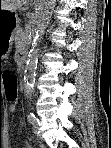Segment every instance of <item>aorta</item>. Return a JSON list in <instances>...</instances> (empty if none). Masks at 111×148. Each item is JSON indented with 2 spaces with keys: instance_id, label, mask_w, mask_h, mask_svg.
Instances as JSON below:
<instances>
[{
  "instance_id": "aorta-1",
  "label": "aorta",
  "mask_w": 111,
  "mask_h": 148,
  "mask_svg": "<svg viewBox=\"0 0 111 148\" xmlns=\"http://www.w3.org/2000/svg\"><path fill=\"white\" fill-rule=\"evenodd\" d=\"M55 0H40L35 12V37L33 48L31 49L28 61L24 71V93L27 98H31L34 91L35 71L38 62V48L37 46L41 42L42 36L49 24V20L52 14V9Z\"/></svg>"
}]
</instances>
